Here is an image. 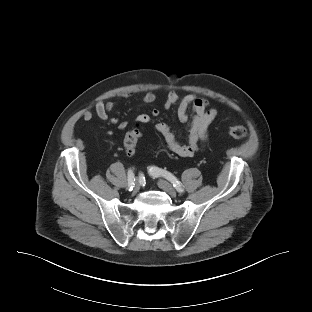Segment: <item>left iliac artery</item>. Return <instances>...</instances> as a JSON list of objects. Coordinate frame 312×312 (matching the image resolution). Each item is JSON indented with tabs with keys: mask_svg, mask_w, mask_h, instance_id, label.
Here are the masks:
<instances>
[{
	"mask_svg": "<svg viewBox=\"0 0 312 312\" xmlns=\"http://www.w3.org/2000/svg\"><path fill=\"white\" fill-rule=\"evenodd\" d=\"M149 173L153 177H159V176L165 177L166 179H168L173 184V186L177 189L178 192H183V190H184L183 189V185L170 172H168L166 170H163V169H160L158 167H150L149 168Z\"/></svg>",
	"mask_w": 312,
	"mask_h": 312,
	"instance_id": "44dca946",
	"label": "left iliac artery"
}]
</instances>
